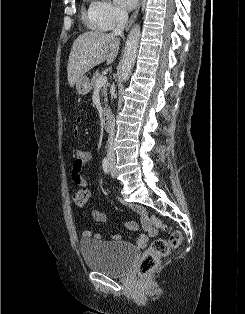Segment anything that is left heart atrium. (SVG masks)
Wrapping results in <instances>:
<instances>
[{"mask_svg": "<svg viewBox=\"0 0 245 314\" xmlns=\"http://www.w3.org/2000/svg\"><path fill=\"white\" fill-rule=\"evenodd\" d=\"M138 0H116L118 6L124 10L132 9Z\"/></svg>", "mask_w": 245, "mask_h": 314, "instance_id": "1", "label": "left heart atrium"}]
</instances>
